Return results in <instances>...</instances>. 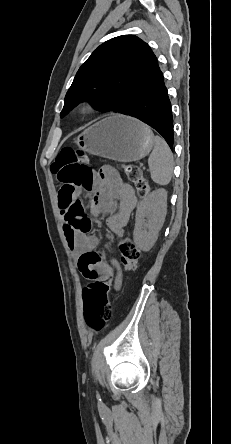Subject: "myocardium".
Segmentation results:
<instances>
[{
  "instance_id": "f54148a6",
  "label": "myocardium",
  "mask_w": 231,
  "mask_h": 444,
  "mask_svg": "<svg viewBox=\"0 0 231 444\" xmlns=\"http://www.w3.org/2000/svg\"><path fill=\"white\" fill-rule=\"evenodd\" d=\"M92 111H93V106L89 102H82L77 107V112L83 116L90 114Z\"/></svg>"
}]
</instances>
